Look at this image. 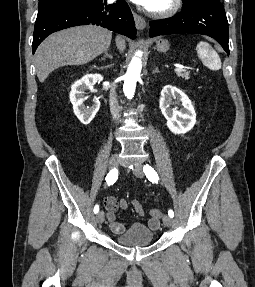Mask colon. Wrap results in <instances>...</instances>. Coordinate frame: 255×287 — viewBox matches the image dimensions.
<instances>
[{"mask_svg":"<svg viewBox=\"0 0 255 287\" xmlns=\"http://www.w3.org/2000/svg\"><path fill=\"white\" fill-rule=\"evenodd\" d=\"M151 217H154L156 219H160L162 216V212L158 209H151L150 210Z\"/></svg>","mask_w":255,"mask_h":287,"instance_id":"1","label":"colon"}]
</instances>
